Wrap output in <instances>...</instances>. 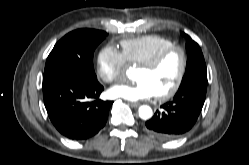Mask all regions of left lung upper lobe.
<instances>
[{"instance_id": "1", "label": "left lung upper lobe", "mask_w": 249, "mask_h": 165, "mask_svg": "<svg viewBox=\"0 0 249 165\" xmlns=\"http://www.w3.org/2000/svg\"><path fill=\"white\" fill-rule=\"evenodd\" d=\"M189 39L186 44L188 53L186 72L179 89H183L191 84L207 85V69L202 51L199 45L188 35L182 33Z\"/></svg>"}]
</instances>
